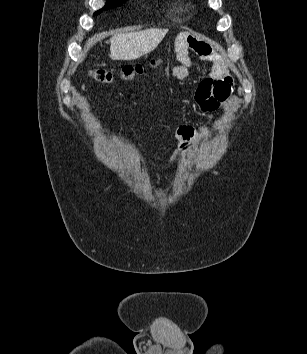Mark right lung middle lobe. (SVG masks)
Returning a JSON list of instances; mask_svg holds the SVG:
<instances>
[{"mask_svg":"<svg viewBox=\"0 0 307 354\" xmlns=\"http://www.w3.org/2000/svg\"><path fill=\"white\" fill-rule=\"evenodd\" d=\"M126 0H107L105 6L103 7V9L95 12L94 15H98L100 14L103 10H108L117 6L122 5V3H124Z\"/></svg>","mask_w":307,"mask_h":354,"instance_id":"obj_1","label":"right lung middle lobe"}]
</instances>
